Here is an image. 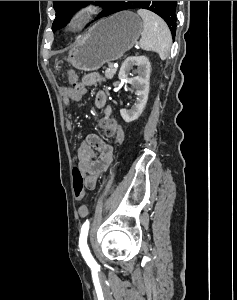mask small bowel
Returning a JSON list of instances; mask_svg holds the SVG:
<instances>
[{
    "mask_svg": "<svg viewBox=\"0 0 237 300\" xmlns=\"http://www.w3.org/2000/svg\"><path fill=\"white\" fill-rule=\"evenodd\" d=\"M71 84L79 83L78 76L70 73ZM104 78L100 73L92 72L84 76L82 85L85 87L103 83ZM84 94V92H83ZM83 94H78L72 87L61 88V95L66 107L72 102L81 99ZM95 106L102 111V116L98 119V125L104 132V140L96 134H89L76 150L79 161V170L85 176V186L89 190L95 189L98 179L106 172L113 162V145L122 144L124 141V131L118 121L111 116L112 108L108 103L105 92L99 91L94 98ZM66 127L72 130L74 125L71 119L66 120ZM88 214L86 206L79 208L80 217Z\"/></svg>",
    "mask_w": 237,
    "mask_h": 300,
    "instance_id": "c3829d8e",
    "label": "small bowel"
}]
</instances>
